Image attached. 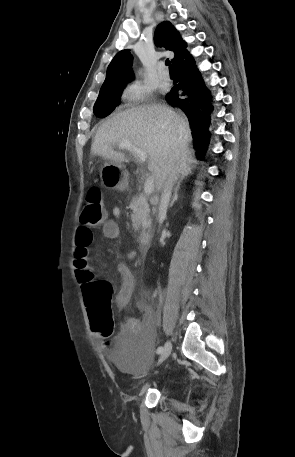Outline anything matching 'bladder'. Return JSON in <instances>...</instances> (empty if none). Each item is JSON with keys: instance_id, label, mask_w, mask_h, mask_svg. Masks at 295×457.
I'll return each instance as SVG.
<instances>
[{"instance_id": "obj_1", "label": "bladder", "mask_w": 295, "mask_h": 457, "mask_svg": "<svg viewBox=\"0 0 295 457\" xmlns=\"http://www.w3.org/2000/svg\"><path fill=\"white\" fill-rule=\"evenodd\" d=\"M114 353L121 356L119 367L132 375L141 372L145 365L157 364L155 338H117Z\"/></svg>"}]
</instances>
